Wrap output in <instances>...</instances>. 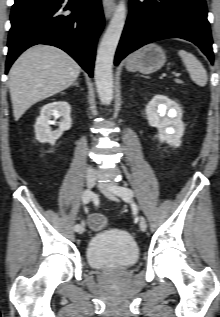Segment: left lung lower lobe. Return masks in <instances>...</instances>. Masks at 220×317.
<instances>
[{"instance_id": "1", "label": "left lung lower lobe", "mask_w": 220, "mask_h": 317, "mask_svg": "<svg viewBox=\"0 0 220 317\" xmlns=\"http://www.w3.org/2000/svg\"><path fill=\"white\" fill-rule=\"evenodd\" d=\"M164 38L195 43L214 62L205 0H130L115 65L139 47Z\"/></svg>"}]
</instances>
